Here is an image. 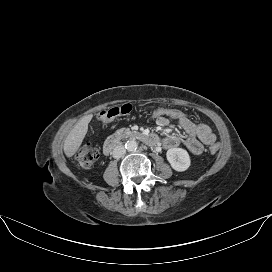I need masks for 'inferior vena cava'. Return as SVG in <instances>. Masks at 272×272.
Segmentation results:
<instances>
[{"instance_id":"inferior-vena-cava-1","label":"inferior vena cava","mask_w":272,"mask_h":272,"mask_svg":"<svg viewBox=\"0 0 272 272\" xmlns=\"http://www.w3.org/2000/svg\"><path fill=\"white\" fill-rule=\"evenodd\" d=\"M126 153V149L124 146L122 145H117L113 151H112V156L115 158V159H119L121 158L122 156H124Z\"/></svg>"}]
</instances>
